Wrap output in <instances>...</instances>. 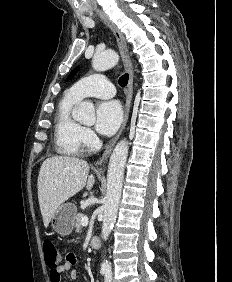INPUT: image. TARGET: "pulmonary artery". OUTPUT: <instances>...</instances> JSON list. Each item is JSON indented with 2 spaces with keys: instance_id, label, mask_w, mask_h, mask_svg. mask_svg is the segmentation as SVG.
I'll use <instances>...</instances> for the list:
<instances>
[{
  "instance_id": "e3ab8cb5",
  "label": "pulmonary artery",
  "mask_w": 232,
  "mask_h": 282,
  "mask_svg": "<svg viewBox=\"0 0 232 282\" xmlns=\"http://www.w3.org/2000/svg\"><path fill=\"white\" fill-rule=\"evenodd\" d=\"M67 93L75 99L85 97L112 98L115 93L114 85L102 74H93L76 82Z\"/></svg>"
}]
</instances>
